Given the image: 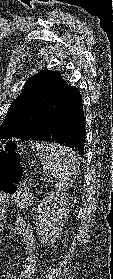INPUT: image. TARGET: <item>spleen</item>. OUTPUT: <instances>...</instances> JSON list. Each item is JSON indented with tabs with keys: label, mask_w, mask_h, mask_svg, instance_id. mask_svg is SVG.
<instances>
[{
	"label": "spleen",
	"mask_w": 113,
	"mask_h": 279,
	"mask_svg": "<svg viewBox=\"0 0 113 279\" xmlns=\"http://www.w3.org/2000/svg\"><path fill=\"white\" fill-rule=\"evenodd\" d=\"M33 147L38 151L44 172L55 178V188L67 191L78 174L79 155L71 148L55 143L35 142Z\"/></svg>",
	"instance_id": "obj_1"
}]
</instances>
